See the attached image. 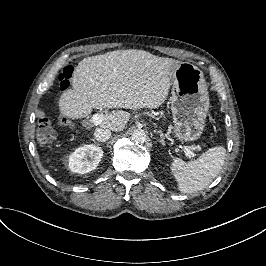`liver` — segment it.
Returning a JSON list of instances; mask_svg holds the SVG:
<instances>
[{"label":"liver","instance_id":"obj_1","mask_svg":"<svg viewBox=\"0 0 266 266\" xmlns=\"http://www.w3.org/2000/svg\"><path fill=\"white\" fill-rule=\"evenodd\" d=\"M181 61L141 49L114 50L79 61L72 73L73 89L63 91L56 106L60 115L79 120L93 109L154 110L169 96L172 74ZM96 124L116 133L124 130L131 114L124 110L103 113Z\"/></svg>","mask_w":266,"mask_h":266}]
</instances>
